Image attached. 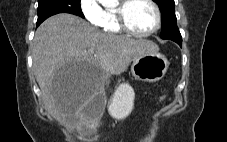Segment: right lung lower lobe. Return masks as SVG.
Returning a JSON list of instances; mask_svg holds the SVG:
<instances>
[{
    "label": "right lung lower lobe",
    "mask_w": 227,
    "mask_h": 142,
    "mask_svg": "<svg viewBox=\"0 0 227 142\" xmlns=\"http://www.w3.org/2000/svg\"><path fill=\"white\" fill-rule=\"evenodd\" d=\"M42 22H37L36 26H39Z\"/></svg>",
    "instance_id": "1"
}]
</instances>
